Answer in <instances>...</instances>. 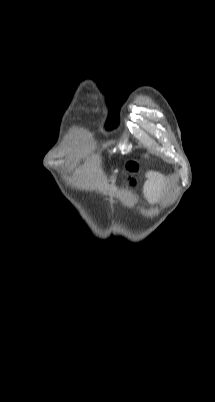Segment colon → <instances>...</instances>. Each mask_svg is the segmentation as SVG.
I'll return each mask as SVG.
<instances>
[{
	"label": "colon",
	"instance_id": "obj_1",
	"mask_svg": "<svg viewBox=\"0 0 215 402\" xmlns=\"http://www.w3.org/2000/svg\"><path fill=\"white\" fill-rule=\"evenodd\" d=\"M136 170H137V164H136L134 161H129V162H127V164H126V171H127L129 174L135 173ZM130 183H131L132 185H134V184H135V180H134L133 178H130Z\"/></svg>",
	"mask_w": 215,
	"mask_h": 402
}]
</instances>
